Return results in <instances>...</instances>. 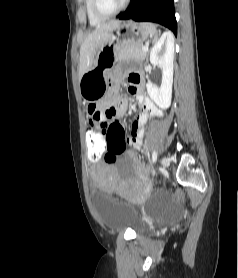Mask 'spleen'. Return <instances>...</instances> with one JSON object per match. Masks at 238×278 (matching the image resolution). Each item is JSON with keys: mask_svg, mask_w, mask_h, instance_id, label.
<instances>
[{"mask_svg": "<svg viewBox=\"0 0 238 278\" xmlns=\"http://www.w3.org/2000/svg\"><path fill=\"white\" fill-rule=\"evenodd\" d=\"M144 25L149 29L150 31V35L153 38V41L157 40V30L155 25L151 24V23H144Z\"/></svg>", "mask_w": 238, "mask_h": 278, "instance_id": "obj_1", "label": "spleen"}]
</instances>
